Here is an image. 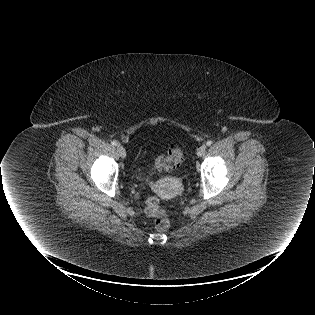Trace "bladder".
Segmentation results:
<instances>
[{
    "label": "bladder",
    "mask_w": 315,
    "mask_h": 315,
    "mask_svg": "<svg viewBox=\"0 0 315 315\" xmlns=\"http://www.w3.org/2000/svg\"><path fill=\"white\" fill-rule=\"evenodd\" d=\"M146 178H147L146 169L143 168V167L139 168V169L137 170V172H136V179H137L138 181H142V180H144V179H146Z\"/></svg>",
    "instance_id": "31cf9c89"
}]
</instances>
